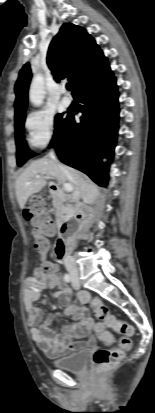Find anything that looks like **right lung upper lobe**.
Instances as JSON below:
<instances>
[{
	"label": "right lung upper lobe",
	"mask_w": 155,
	"mask_h": 413,
	"mask_svg": "<svg viewBox=\"0 0 155 413\" xmlns=\"http://www.w3.org/2000/svg\"><path fill=\"white\" fill-rule=\"evenodd\" d=\"M47 64L57 82L68 78L74 87L73 95L79 87L109 68L95 40L85 29L71 23L63 24L50 43ZM30 80L31 70L27 63L15 84V122L25 117Z\"/></svg>",
	"instance_id": "1"
}]
</instances>
